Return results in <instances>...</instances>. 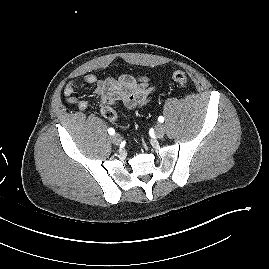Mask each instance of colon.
<instances>
[{
	"label": "colon",
	"instance_id": "colon-1",
	"mask_svg": "<svg viewBox=\"0 0 269 269\" xmlns=\"http://www.w3.org/2000/svg\"><path fill=\"white\" fill-rule=\"evenodd\" d=\"M173 80L179 85L181 89H185L187 86V77L182 71H175L172 75ZM106 115L109 119L114 120L116 118V114L114 110H107Z\"/></svg>",
	"mask_w": 269,
	"mask_h": 269
}]
</instances>
